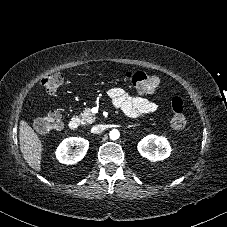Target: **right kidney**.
<instances>
[{
    "mask_svg": "<svg viewBox=\"0 0 227 227\" xmlns=\"http://www.w3.org/2000/svg\"><path fill=\"white\" fill-rule=\"evenodd\" d=\"M76 147L72 150V147ZM89 148L88 140L81 137H70L62 141L56 150V158L63 164H75L82 160Z\"/></svg>",
    "mask_w": 227,
    "mask_h": 227,
    "instance_id": "1",
    "label": "right kidney"
}]
</instances>
